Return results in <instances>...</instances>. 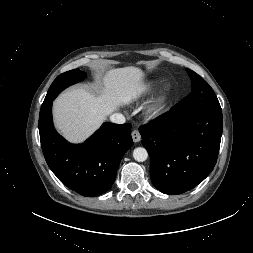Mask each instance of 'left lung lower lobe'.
Listing matches in <instances>:
<instances>
[{
	"instance_id": "0a47b994",
	"label": "left lung lower lobe",
	"mask_w": 253,
	"mask_h": 253,
	"mask_svg": "<svg viewBox=\"0 0 253 253\" xmlns=\"http://www.w3.org/2000/svg\"><path fill=\"white\" fill-rule=\"evenodd\" d=\"M223 130L222 110L173 108L139 128L151 157L153 185L165 194H181L213 170Z\"/></svg>"
}]
</instances>
